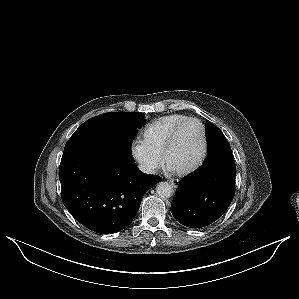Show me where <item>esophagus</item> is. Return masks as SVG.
<instances>
[{
  "label": "esophagus",
  "instance_id": "obj_1",
  "mask_svg": "<svg viewBox=\"0 0 299 299\" xmlns=\"http://www.w3.org/2000/svg\"><path fill=\"white\" fill-rule=\"evenodd\" d=\"M169 182L174 188L178 187V184H179L178 180L171 179V180H169Z\"/></svg>",
  "mask_w": 299,
  "mask_h": 299
}]
</instances>
